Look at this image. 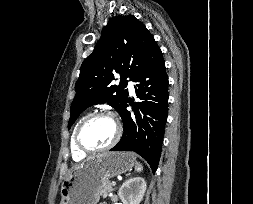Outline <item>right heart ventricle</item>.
Segmentation results:
<instances>
[{"label": "right heart ventricle", "mask_w": 253, "mask_h": 204, "mask_svg": "<svg viewBox=\"0 0 253 204\" xmlns=\"http://www.w3.org/2000/svg\"><path fill=\"white\" fill-rule=\"evenodd\" d=\"M82 119H80L78 121V123L76 124V126L72 132V136H71V140H70L71 154H72L73 160H75V161H80L86 156L85 153H82L81 151L78 150V148L76 147V144H75V131Z\"/></svg>", "instance_id": "e07e8e85"}]
</instances>
